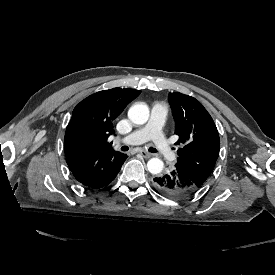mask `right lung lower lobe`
I'll use <instances>...</instances> for the list:
<instances>
[{"label": "right lung lower lobe", "mask_w": 275, "mask_h": 275, "mask_svg": "<svg viewBox=\"0 0 275 275\" xmlns=\"http://www.w3.org/2000/svg\"><path fill=\"white\" fill-rule=\"evenodd\" d=\"M127 155L113 149L66 156L75 179L88 188L99 189L109 185L127 159Z\"/></svg>", "instance_id": "obj_1"}]
</instances>
